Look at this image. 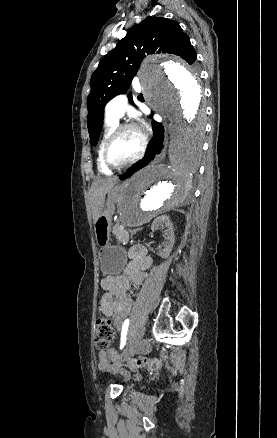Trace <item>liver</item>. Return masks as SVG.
I'll return each mask as SVG.
<instances>
[{
  "instance_id": "6515ba94",
  "label": "liver",
  "mask_w": 277,
  "mask_h": 438,
  "mask_svg": "<svg viewBox=\"0 0 277 438\" xmlns=\"http://www.w3.org/2000/svg\"><path fill=\"white\" fill-rule=\"evenodd\" d=\"M117 184V178H103V180H96L91 186L92 196V216L93 222H97L105 202V194L112 190L113 186Z\"/></svg>"
}]
</instances>
